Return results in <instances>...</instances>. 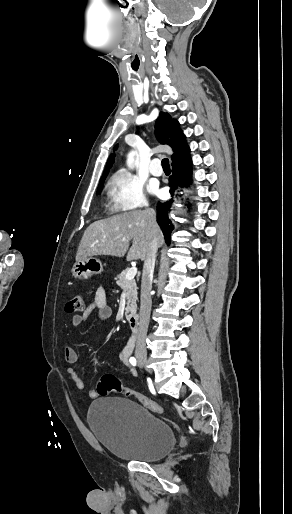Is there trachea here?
I'll return each instance as SVG.
<instances>
[{
    "mask_svg": "<svg viewBox=\"0 0 292 514\" xmlns=\"http://www.w3.org/2000/svg\"><path fill=\"white\" fill-rule=\"evenodd\" d=\"M161 163L163 170H170V164L168 159H163Z\"/></svg>",
    "mask_w": 292,
    "mask_h": 514,
    "instance_id": "1",
    "label": "trachea"
}]
</instances>
